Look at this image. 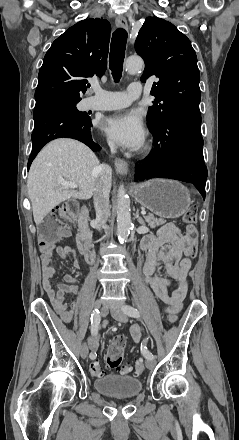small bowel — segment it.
<instances>
[{"label":"small bowel","instance_id":"small-bowel-1","mask_svg":"<svg viewBox=\"0 0 239 440\" xmlns=\"http://www.w3.org/2000/svg\"><path fill=\"white\" fill-rule=\"evenodd\" d=\"M196 247L187 235L174 224L163 225L156 235H147L141 242V249L145 253L142 269L146 283L152 288L155 295L168 305L166 311L177 313L182 307L187 293V275L191 267L192 248ZM42 264V283L44 290L52 301L56 311L65 322H70L76 303L71 307L65 302L66 294H76L79 290L78 279L71 275H64L63 283L54 286L52 279L56 269L52 265L53 255L60 258H74V267L81 268L75 251L69 246L51 244L40 247ZM164 270L166 277L160 275ZM169 289L172 290L169 294ZM132 337L138 342L141 337V328H132ZM89 346L95 350L98 347V335L90 337Z\"/></svg>","mask_w":239,"mask_h":440}]
</instances>
